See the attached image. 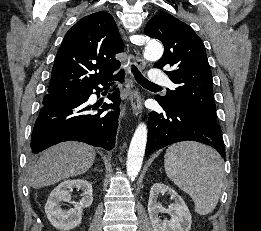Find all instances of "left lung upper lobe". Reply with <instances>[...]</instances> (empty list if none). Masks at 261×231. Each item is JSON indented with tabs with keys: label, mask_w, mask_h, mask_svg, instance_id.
Returning a JSON list of instances; mask_svg holds the SVG:
<instances>
[{
	"label": "left lung upper lobe",
	"mask_w": 261,
	"mask_h": 231,
	"mask_svg": "<svg viewBox=\"0 0 261 231\" xmlns=\"http://www.w3.org/2000/svg\"><path fill=\"white\" fill-rule=\"evenodd\" d=\"M145 34L163 43L164 54L154 66L173 67L165 73L177 85L175 90L167 89L166 96L156 97L166 105H183L216 121L212 75L199 36L167 12L152 17L145 27Z\"/></svg>",
	"instance_id": "left-lung-upper-lobe-1"
}]
</instances>
